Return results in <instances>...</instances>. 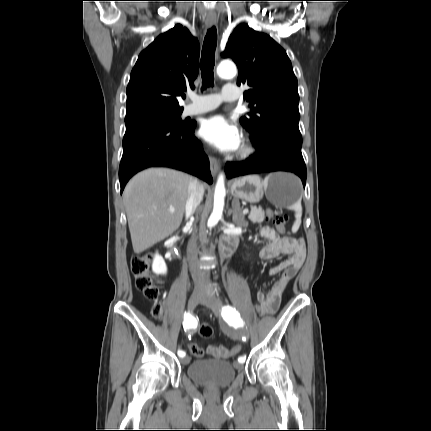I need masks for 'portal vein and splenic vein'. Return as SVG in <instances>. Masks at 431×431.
I'll return each mask as SVG.
<instances>
[{
    "label": "portal vein and splenic vein",
    "mask_w": 431,
    "mask_h": 431,
    "mask_svg": "<svg viewBox=\"0 0 431 431\" xmlns=\"http://www.w3.org/2000/svg\"><path fill=\"white\" fill-rule=\"evenodd\" d=\"M169 211L171 212V213H173L175 210L173 209V208H170L169 209ZM249 212V210L248 209H244L243 210V214H247Z\"/></svg>",
    "instance_id": "18ae733b"
}]
</instances>
